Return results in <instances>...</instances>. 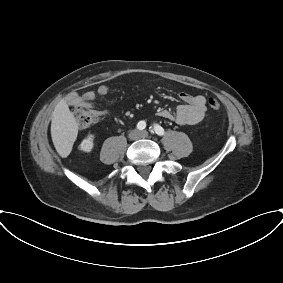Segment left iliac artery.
<instances>
[{"instance_id": "1", "label": "left iliac artery", "mask_w": 283, "mask_h": 283, "mask_svg": "<svg viewBox=\"0 0 283 283\" xmlns=\"http://www.w3.org/2000/svg\"><path fill=\"white\" fill-rule=\"evenodd\" d=\"M151 132L152 133L155 132L159 136L164 135V129L160 125H158V124L154 125V130H151Z\"/></svg>"}]
</instances>
